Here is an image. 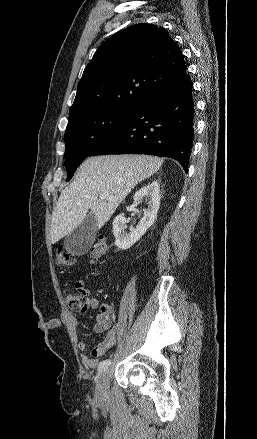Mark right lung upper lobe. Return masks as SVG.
Wrapping results in <instances>:
<instances>
[{"instance_id":"cb5924a9","label":"right lung upper lobe","mask_w":257,"mask_h":439,"mask_svg":"<svg viewBox=\"0 0 257 439\" xmlns=\"http://www.w3.org/2000/svg\"><path fill=\"white\" fill-rule=\"evenodd\" d=\"M185 73L183 55L163 28L132 25L97 49L79 81L69 119L98 109L136 110Z\"/></svg>"}]
</instances>
